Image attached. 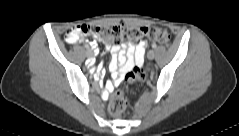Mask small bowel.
I'll list each match as a JSON object with an SVG mask.
<instances>
[{"instance_id": "small-bowel-1", "label": "small bowel", "mask_w": 239, "mask_h": 136, "mask_svg": "<svg viewBox=\"0 0 239 136\" xmlns=\"http://www.w3.org/2000/svg\"><path fill=\"white\" fill-rule=\"evenodd\" d=\"M90 44L95 52H98L95 36H93ZM105 49L111 53L109 68L113 72V77L105 85L106 92L110 93L119 84L121 75L124 72L132 69L135 65L143 63L146 42L139 41L136 44L130 43L128 45L121 43L106 44Z\"/></svg>"}]
</instances>
